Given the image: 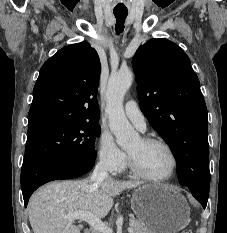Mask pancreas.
<instances>
[{"instance_id": "pancreas-1", "label": "pancreas", "mask_w": 227, "mask_h": 233, "mask_svg": "<svg viewBox=\"0 0 227 233\" xmlns=\"http://www.w3.org/2000/svg\"><path fill=\"white\" fill-rule=\"evenodd\" d=\"M129 225L133 229L132 233H151L139 220L135 218H131L129 220Z\"/></svg>"}]
</instances>
